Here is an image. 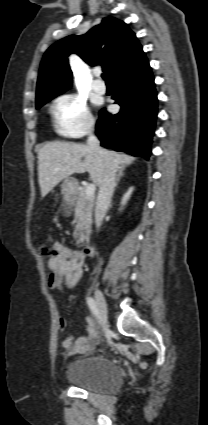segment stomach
Returning a JSON list of instances; mask_svg holds the SVG:
<instances>
[{
	"instance_id": "1",
	"label": "stomach",
	"mask_w": 208,
	"mask_h": 425,
	"mask_svg": "<svg viewBox=\"0 0 208 425\" xmlns=\"http://www.w3.org/2000/svg\"><path fill=\"white\" fill-rule=\"evenodd\" d=\"M78 182L73 177L65 178L61 185L63 198L65 201H72L77 193Z\"/></svg>"
}]
</instances>
